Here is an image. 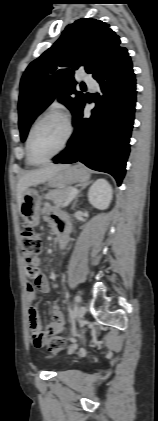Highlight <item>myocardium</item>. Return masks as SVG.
Listing matches in <instances>:
<instances>
[{"instance_id":"obj_1","label":"myocardium","mask_w":158,"mask_h":421,"mask_svg":"<svg viewBox=\"0 0 158 421\" xmlns=\"http://www.w3.org/2000/svg\"><path fill=\"white\" fill-rule=\"evenodd\" d=\"M50 116L59 117L64 121L65 126H66V135H65L63 143L61 144V146L59 147V149L55 153H53L49 158H47L43 161H35L33 159L32 155H31V150H30L31 138H32V135H33V132H34L36 126L41 121H43L44 119H46L47 117H50ZM72 134H73V125H72L70 117L65 112H63L61 110H58V109H51V110H48V111L44 112L34 121V123L32 124V126L29 130L27 140H26V153H27L28 160L30 161V163L32 165H44V164L50 162L54 157L59 155L67 147V145H68V143H69V141L72 137Z\"/></svg>"}]
</instances>
